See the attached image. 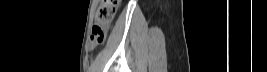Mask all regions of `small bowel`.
Segmentation results:
<instances>
[{
	"mask_svg": "<svg viewBox=\"0 0 267 72\" xmlns=\"http://www.w3.org/2000/svg\"><path fill=\"white\" fill-rule=\"evenodd\" d=\"M97 45L96 44H94V43H92L91 41H90V43H89V47H90V49H93V48H95Z\"/></svg>",
	"mask_w": 267,
	"mask_h": 72,
	"instance_id": "c3829d8e",
	"label": "small bowel"
}]
</instances>
